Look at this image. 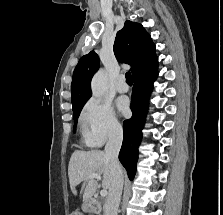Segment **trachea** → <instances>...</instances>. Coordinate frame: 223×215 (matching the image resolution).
Listing matches in <instances>:
<instances>
[{"label":"trachea","mask_w":223,"mask_h":215,"mask_svg":"<svg viewBox=\"0 0 223 215\" xmlns=\"http://www.w3.org/2000/svg\"><path fill=\"white\" fill-rule=\"evenodd\" d=\"M125 78L127 83H133L130 72L126 73Z\"/></svg>","instance_id":"trachea-1"}]
</instances>
